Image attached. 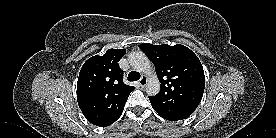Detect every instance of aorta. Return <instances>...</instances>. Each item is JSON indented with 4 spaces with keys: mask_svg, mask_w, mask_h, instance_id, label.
Masks as SVG:
<instances>
[{
    "mask_svg": "<svg viewBox=\"0 0 276 138\" xmlns=\"http://www.w3.org/2000/svg\"><path fill=\"white\" fill-rule=\"evenodd\" d=\"M128 58L130 65L136 71L144 73L148 76L146 83V93L150 96L157 95L160 91V82L154 67L147 56L141 51H136L130 53Z\"/></svg>",
    "mask_w": 276,
    "mask_h": 138,
    "instance_id": "obj_1",
    "label": "aorta"
}]
</instances>
